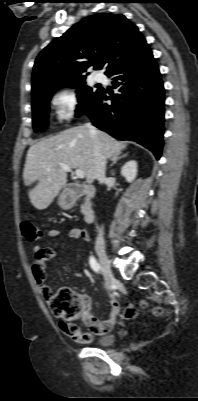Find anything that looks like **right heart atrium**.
<instances>
[{"mask_svg": "<svg viewBox=\"0 0 198 401\" xmlns=\"http://www.w3.org/2000/svg\"><path fill=\"white\" fill-rule=\"evenodd\" d=\"M51 103L58 122L68 123L77 114L81 99L76 90L67 88L56 92L52 96Z\"/></svg>", "mask_w": 198, "mask_h": 401, "instance_id": "d8ad5b80", "label": "right heart atrium"}]
</instances>
